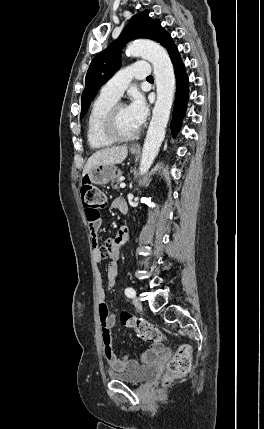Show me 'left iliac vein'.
Masks as SVG:
<instances>
[{
    "instance_id": "1",
    "label": "left iliac vein",
    "mask_w": 264,
    "mask_h": 429,
    "mask_svg": "<svg viewBox=\"0 0 264 429\" xmlns=\"http://www.w3.org/2000/svg\"><path fill=\"white\" fill-rule=\"evenodd\" d=\"M133 304L135 307H137L138 309L142 307V304L140 302V300L137 297L133 298Z\"/></svg>"
}]
</instances>
